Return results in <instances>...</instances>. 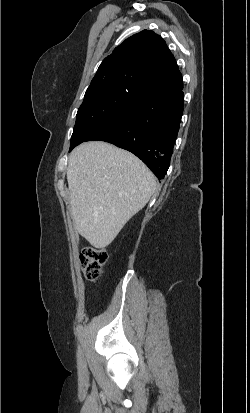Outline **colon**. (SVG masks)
Segmentation results:
<instances>
[{
    "label": "colon",
    "mask_w": 250,
    "mask_h": 413,
    "mask_svg": "<svg viewBox=\"0 0 250 413\" xmlns=\"http://www.w3.org/2000/svg\"><path fill=\"white\" fill-rule=\"evenodd\" d=\"M108 259V253L103 248L85 247L80 255L81 269L84 276L90 280L98 279Z\"/></svg>",
    "instance_id": "obj_1"
}]
</instances>
